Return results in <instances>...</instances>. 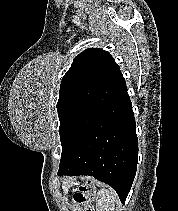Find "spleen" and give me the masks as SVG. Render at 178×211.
I'll use <instances>...</instances> for the list:
<instances>
[{"instance_id": "3e777b00", "label": "spleen", "mask_w": 178, "mask_h": 211, "mask_svg": "<svg viewBox=\"0 0 178 211\" xmlns=\"http://www.w3.org/2000/svg\"><path fill=\"white\" fill-rule=\"evenodd\" d=\"M117 194L112 189H100L96 197V211H114Z\"/></svg>"}]
</instances>
